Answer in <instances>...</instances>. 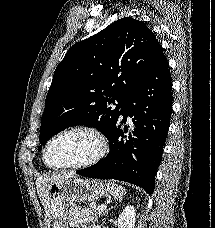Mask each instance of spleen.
I'll use <instances>...</instances> for the list:
<instances>
[{
  "label": "spleen",
  "mask_w": 215,
  "mask_h": 228,
  "mask_svg": "<svg viewBox=\"0 0 215 228\" xmlns=\"http://www.w3.org/2000/svg\"><path fill=\"white\" fill-rule=\"evenodd\" d=\"M107 190L108 192H111V196H114L116 200H123L126 194L123 186H117L114 182H109V184H107Z\"/></svg>",
  "instance_id": "3e777b00"
}]
</instances>
